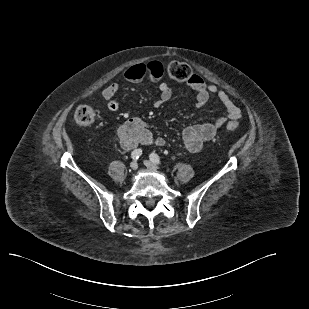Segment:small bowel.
Here are the masks:
<instances>
[{
  "label": "small bowel",
  "instance_id": "c3829d8e",
  "mask_svg": "<svg viewBox=\"0 0 309 309\" xmlns=\"http://www.w3.org/2000/svg\"><path fill=\"white\" fill-rule=\"evenodd\" d=\"M162 73V65L153 61L130 66L124 71L123 79L130 83H138L144 79L159 81ZM188 86L196 93V107H203L211 96H216L226 110V116L219 117L212 123L195 124L183 130L182 139L185 149L196 153L202 149L206 142L215 137L217 130L225 123L236 122L241 116V111L225 91L220 90L214 84H207L200 76L194 75L193 79L188 82ZM119 89L120 83H112L102 91V97L106 101L107 108L112 112L119 109V103L114 98ZM158 91L160 94L159 103L167 102L173 95L172 88L165 82L159 83ZM117 135L120 145L125 150H132L139 144L157 146L165 144L163 138L154 137L147 125L137 117L129 118L123 122L117 130Z\"/></svg>",
  "mask_w": 309,
  "mask_h": 309
}]
</instances>
